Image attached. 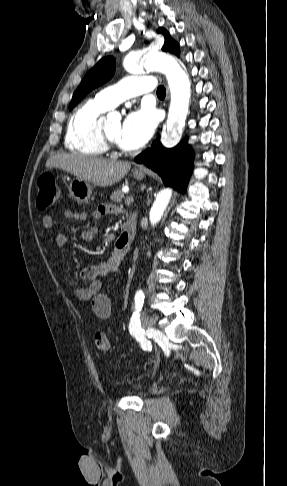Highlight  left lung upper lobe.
I'll return each mask as SVG.
<instances>
[{"mask_svg": "<svg viewBox=\"0 0 287 486\" xmlns=\"http://www.w3.org/2000/svg\"><path fill=\"white\" fill-rule=\"evenodd\" d=\"M157 32L163 34L165 37L162 50L173 53L179 57V45L170 37L169 32L164 28H159ZM114 72L115 65L113 57H105L98 61L97 64L87 72L81 81L70 102L69 110H72L91 90L111 79Z\"/></svg>", "mask_w": 287, "mask_h": 486, "instance_id": "obj_1", "label": "left lung upper lobe"}]
</instances>
